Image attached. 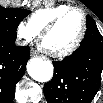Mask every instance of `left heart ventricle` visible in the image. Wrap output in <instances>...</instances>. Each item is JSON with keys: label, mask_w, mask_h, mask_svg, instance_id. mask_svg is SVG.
Returning <instances> with one entry per match:
<instances>
[{"label": "left heart ventricle", "mask_w": 103, "mask_h": 103, "mask_svg": "<svg viewBox=\"0 0 103 103\" xmlns=\"http://www.w3.org/2000/svg\"><path fill=\"white\" fill-rule=\"evenodd\" d=\"M82 16L79 12L68 14L44 39L43 44L50 50L61 51L74 43L82 30Z\"/></svg>", "instance_id": "left-heart-ventricle-1"}]
</instances>
